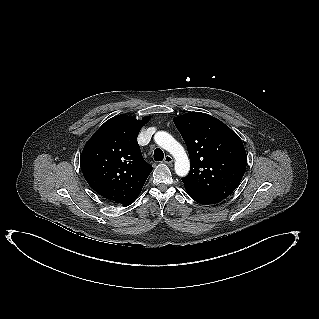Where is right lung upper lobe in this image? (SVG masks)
<instances>
[{
    "mask_svg": "<svg viewBox=\"0 0 319 319\" xmlns=\"http://www.w3.org/2000/svg\"><path fill=\"white\" fill-rule=\"evenodd\" d=\"M149 118L126 115L106 121L80 156L82 173L98 194L123 205L137 198L153 167L144 161L137 136Z\"/></svg>",
    "mask_w": 319,
    "mask_h": 319,
    "instance_id": "right-lung-upper-lobe-1",
    "label": "right lung upper lobe"
}]
</instances>
